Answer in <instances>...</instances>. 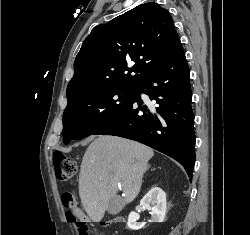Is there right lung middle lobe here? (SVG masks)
I'll return each instance as SVG.
<instances>
[{
  "instance_id": "obj_1",
  "label": "right lung middle lobe",
  "mask_w": 250,
  "mask_h": 235,
  "mask_svg": "<svg viewBox=\"0 0 250 235\" xmlns=\"http://www.w3.org/2000/svg\"><path fill=\"white\" fill-rule=\"evenodd\" d=\"M136 87L106 88L77 97L63 115V141L80 140L94 134L132 99Z\"/></svg>"
}]
</instances>
